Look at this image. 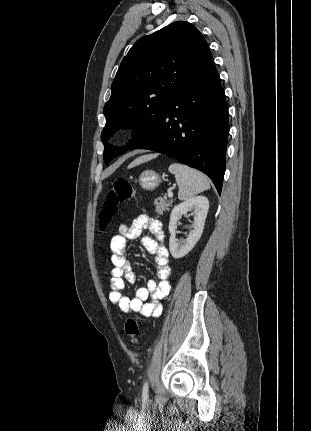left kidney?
Here are the masks:
<instances>
[{
    "mask_svg": "<svg viewBox=\"0 0 311 431\" xmlns=\"http://www.w3.org/2000/svg\"><path fill=\"white\" fill-rule=\"evenodd\" d=\"M208 208L209 202L204 196H196V198H190V200H185L182 204L174 206L171 212L168 229L171 233L169 249L171 255H173L175 259L184 257L186 253H189L198 239H200L208 214ZM187 212H192V214H188V216H194V223H192L193 229L189 231V235H187L186 239H181V241H179V239H176L177 221L181 219L184 214H187Z\"/></svg>",
    "mask_w": 311,
    "mask_h": 431,
    "instance_id": "1",
    "label": "left kidney"
}]
</instances>
